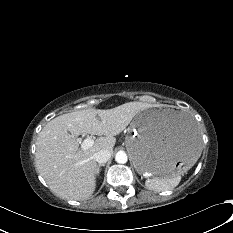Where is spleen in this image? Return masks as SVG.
<instances>
[{"instance_id":"3e777b00","label":"spleen","mask_w":233,"mask_h":233,"mask_svg":"<svg viewBox=\"0 0 233 233\" xmlns=\"http://www.w3.org/2000/svg\"><path fill=\"white\" fill-rule=\"evenodd\" d=\"M180 180H181L180 174H177L171 177H165V178L155 177L152 179H147L145 182V185L149 190L159 192V191L173 189L179 184Z\"/></svg>"}]
</instances>
